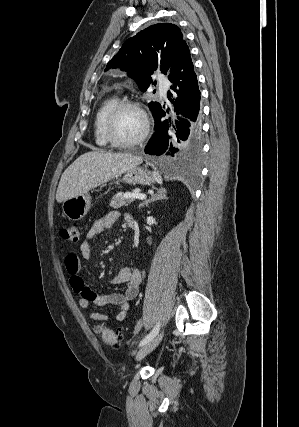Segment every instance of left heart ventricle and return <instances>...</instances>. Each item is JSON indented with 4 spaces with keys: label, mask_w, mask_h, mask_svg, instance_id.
<instances>
[{
    "label": "left heart ventricle",
    "mask_w": 299,
    "mask_h": 427,
    "mask_svg": "<svg viewBox=\"0 0 299 427\" xmlns=\"http://www.w3.org/2000/svg\"><path fill=\"white\" fill-rule=\"evenodd\" d=\"M144 127L142 116L134 109L121 110L114 121V132L116 136L124 141L137 138Z\"/></svg>",
    "instance_id": "left-heart-ventricle-1"
}]
</instances>
